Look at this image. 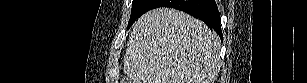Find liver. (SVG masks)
<instances>
[{"instance_id": "obj_1", "label": "liver", "mask_w": 307, "mask_h": 83, "mask_svg": "<svg viewBox=\"0 0 307 83\" xmlns=\"http://www.w3.org/2000/svg\"><path fill=\"white\" fill-rule=\"evenodd\" d=\"M220 39L201 20L156 8L135 23L123 58L133 83H214Z\"/></svg>"}]
</instances>
